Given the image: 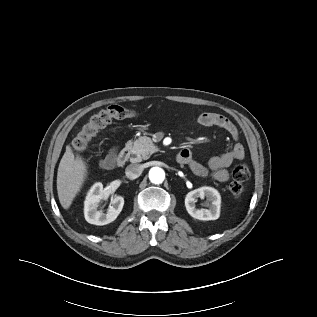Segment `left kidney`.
<instances>
[{"label":"left kidney","instance_id":"5707ae66","mask_svg":"<svg viewBox=\"0 0 317 317\" xmlns=\"http://www.w3.org/2000/svg\"><path fill=\"white\" fill-rule=\"evenodd\" d=\"M207 199L208 209H198L195 206L198 198ZM221 197L212 187H201L190 191L185 197V207L190 216L198 220H216L220 215Z\"/></svg>","mask_w":317,"mask_h":317}]
</instances>
